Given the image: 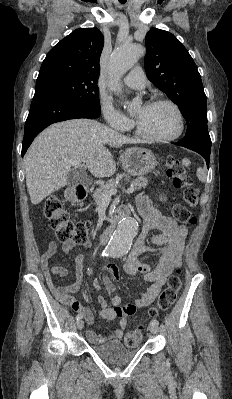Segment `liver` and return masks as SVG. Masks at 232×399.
<instances>
[{
  "label": "liver",
  "instance_id": "6515ba94",
  "mask_svg": "<svg viewBox=\"0 0 232 399\" xmlns=\"http://www.w3.org/2000/svg\"><path fill=\"white\" fill-rule=\"evenodd\" d=\"M105 144L121 148L123 144L138 142L95 120H67L46 128L35 138L24 158L31 203H40L66 186L68 160H81L95 178L113 176L116 164Z\"/></svg>",
  "mask_w": 232,
  "mask_h": 399
}]
</instances>
